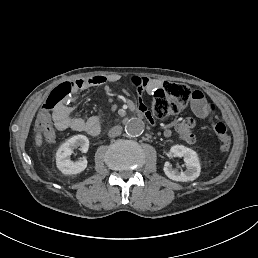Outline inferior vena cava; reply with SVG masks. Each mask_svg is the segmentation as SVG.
Returning a JSON list of instances; mask_svg holds the SVG:
<instances>
[{
    "label": "inferior vena cava",
    "mask_w": 258,
    "mask_h": 258,
    "mask_svg": "<svg viewBox=\"0 0 258 258\" xmlns=\"http://www.w3.org/2000/svg\"><path fill=\"white\" fill-rule=\"evenodd\" d=\"M122 126L120 125H117V126H114L112 127L110 130H109V133H108V136L109 137H116V136H119L121 133H122Z\"/></svg>",
    "instance_id": "602c4592"
}]
</instances>
